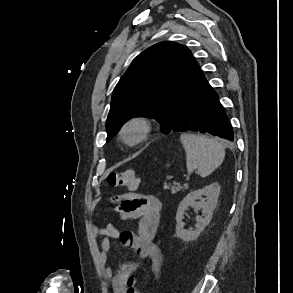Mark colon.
<instances>
[{"instance_id": "colon-1", "label": "colon", "mask_w": 293, "mask_h": 293, "mask_svg": "<svg viewBox=\"0 0 293 293\" xmlns=\"http://www.w3.org/2000/svg\"><path fill=\"white\" fill-rule=\"evenodd\" d=\"M106 182L110 187H122L134 191L139 187L140 178L135 171L128 169L109 173ZM127 285V293H141V291L136 288L135 279L133 277L128 278Z\"/></svg>"}]
</instances>
